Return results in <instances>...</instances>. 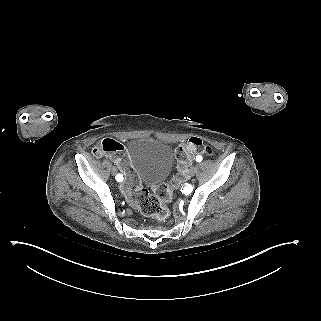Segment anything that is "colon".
<instances>
[{"label": "colon", "mask_w": 321, "mask_h": 321, "mask_svg": "<svg viewBox=\"0 0 321 321\" xmlns=\"http://www.w3.org/2000/svg\"><path fill=\"white\" fill-rule=\"evenodd\" d=\"M93 153L96 156L106 155L116 164L123 176L120 184L121 191L127 201L137 208L143 215L162 221L169 216V210L162 202L169 201L179 184V178L173 179L171 183H163L156 187L155 194L141 186V181L135 173L126 148L114 139H104L97 144ZM213 155L210 146L205 145L198 137H191L186 142L181 143L175 151L176 159L179 162V171L184 173L188 164L196 155Z\"/></svg>", "instance_id": "colon-1"}]
</instances>
